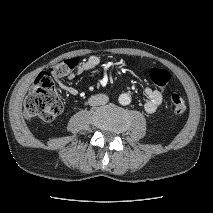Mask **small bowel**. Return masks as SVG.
<instances>
[{
	"instance_id": "small-bowel-1",
	"label": "small bowel",
	"mask_w": 213,
	"mask_h": 213,
	"mask_svg": "<svg viewBox=\"0 0 213 213\" xmlns=\"http://www.w3.org/2000/svg\"><path fill=\"white\" fill-rule=\"evenodd\" d=\"M100 65V58L95 55H91L86 59L78 62L76 67L68 72L66 78L68 80L74 79L76 76L81 75L82 73L90 70H94ZM110 68L109 65L105 66V70ZM61 88L70 95H77L78 90L72 86H68L64 83H60ZM144 93L147 97V101L144 104V110L148 114H154L157 109L160 107L163 101L162 93L151 87H145Z\"/></svg>"
}]
</instances>
